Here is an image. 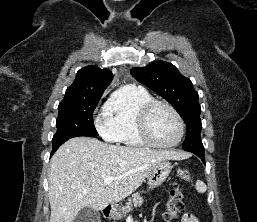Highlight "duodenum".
<instances>
[{"mask_svg": "<svg viewBox=\"0 0 257 222\" xmlns=\"http://www.w3.org/2000/svg\"><path fill=\"white\" fill-rule=\"evenodd\" d=\"M113 208L112 206L108 205L103 209V213L106 217H110L112 215Z\"/></svg>", "mask_w": 257, "mask_h": 222, "instance_id": "410a0bca", "label": "duodenum"}]
</instances>
